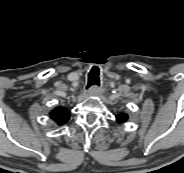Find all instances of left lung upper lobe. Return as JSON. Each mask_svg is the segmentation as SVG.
Wrapping results in <instances>:
<instances>
[{"label":"left lung upper lobe","instance_id":"5c2ea615","mask_svg":"<svg viewBox=\"0 0 184 173\" xmlns=\"http://www.w3.org/2000/svg\"><path fill=\"white\" fill-rule=\"evenodd\" d=\"M127 119H128L127 114H119L118 116H116V120L120 124L125 123L127 121Z\"/></svg>","mask_w":184,"mask_h":173}]
</instances>
